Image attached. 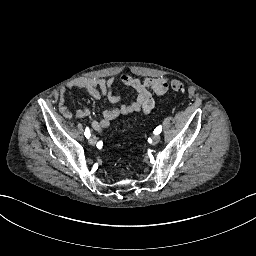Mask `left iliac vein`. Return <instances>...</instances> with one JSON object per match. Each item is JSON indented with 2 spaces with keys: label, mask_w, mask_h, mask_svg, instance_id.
<instances>
[{
  "label": "left iliac vein",
  "mask_w": 256,
  "mask_h": 256,
  "mask_svg": "<svg viewBox=\"0 0 256 256\" xmlns=\"http://www.w3.org/2000/svg\"><path fill=\"white\" fill-rule=\"evenodd\" d=\"M160 141V136L159 135H154L152 138V144L156 145Z\"/></svg>",
  "instance_id": "obj_1"
}]
</instances>
